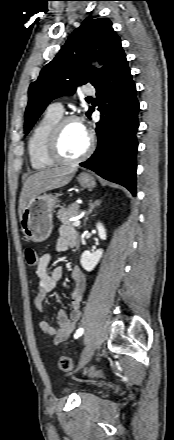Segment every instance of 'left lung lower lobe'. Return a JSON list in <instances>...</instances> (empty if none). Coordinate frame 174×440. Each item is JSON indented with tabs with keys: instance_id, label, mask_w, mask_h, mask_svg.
Listing matches in <instances>:
<instances>
[{
	"instance_id": "left-lung-lower-lobe-1",
	"label": "left lung lower lobe",
	"mask_w": 174,
	"mask_h": 440,
	"mask_svg": "<svg viewBox=\"0 0 174 440\" xmlns=\"http://www.w3.org/2000/svg\"><path fill=\"white\" fill-rule=\"evenodd\" d=\"M94 87L101 112V120L96 123L98 144L94 154L80 165L135 195L139 102L123 50L111 60ZM92 112L91 108L87 116Z\"/></svg>"
}]
</instances>
